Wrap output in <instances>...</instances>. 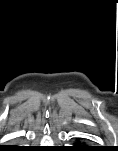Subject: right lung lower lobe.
<instances>
[{"label":"right lung lower lobe","mask_w":118,"mask_h":151,"mask_svg":"<svg viewBox=\"0 0 118 151\" xmlns=\"http://www.w3.org/2000/svg\"><path fill=\"white\" fill-rule=\"evenodd\" d=\"M5 150H24L23 147L12 146L10 149L6 148Z\"/></svg>","instance_id":"right-lung-lower-lobe-1"}]
</instances>
